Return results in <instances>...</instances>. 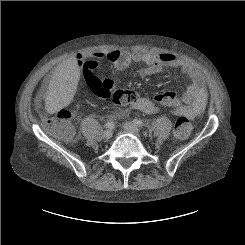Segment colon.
Wrapping results in <instances>:
<instances>
[{"label":"colon","mask_w":245,"mask_h":245,"mask_svg":"<svg viewBox=\"0 0 245 245\" xmlns=\"http://www.w3.org/2000/svg\"><path fill=\"white\" fill-rule=\"evenodd\" d=\"M84 75L91 76L100 72L101 68L95 60L78 61ZM91 89L98 95L108 98L113 104L121 105L131 103L135 99V93L130 89L109 90L107 85L97 78L90 79ZM155 101L166 107L180 108L179 97L175 92H161L155 96ZM71 113L67 108H61L55 115L49 117L44 122L45 129L53 136L62 139H70L74 135V130L69 123ZM192 125L188 117L180 115L174 126L173 135L176 141H182L189 137Z\"/></svg>","instance_id":"1"}]
</instances>
